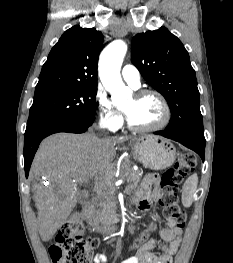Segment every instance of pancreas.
I'll list each match as a JSON object with an SVG mask.
<instances>
[{"instance_id": "1", "label": "pancreas", "mask_w": 233, "mask_h": 263, "mask_svg": "<svg viewBox=\"0 0 233 263\" xmlns=\"http://www.w3.org/2000/svg\"><path fill=\"white\" fill-rule=\"evenodd\" d=\"M143 173L140 171L131 170L127 177L128 186L127 192L138 188ZM116 205L111 193H104L101 200L97 203V208L93 209L92 217L88 222L92 225L100 224L109 227L116 222Z\"/></svg>"}]
</instances>
